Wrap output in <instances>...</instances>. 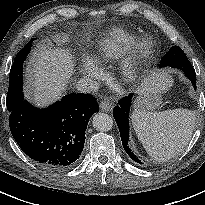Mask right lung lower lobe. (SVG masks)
Returning <instances> with one entry per match:
<instances>
[{
    "label": "right lung lower lobe",
    "instance_id": "98d812e1",
    "mask_svg": "<svg viewBox=\"0 0 205 205\" xmlns=\"http://www.w3.org/2000/svg\"><path fill=\"white\" fill-rule=\"evenodd\" d=\"M99 111L89 94L72 93L45 109L23 100L10 112L12 136L22 151L47 170L73 166L81 155L90 117Z\"/></svg>",
    "mask_w": 205,
    "mask_h": 205
}]
</instances>
